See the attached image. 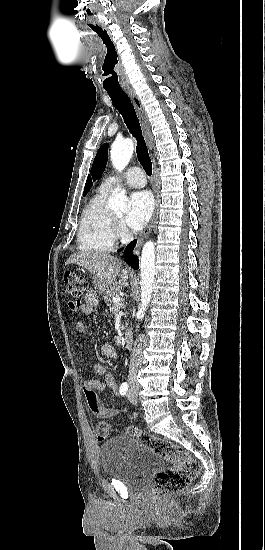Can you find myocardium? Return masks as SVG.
Here are the masks:
<instances>
[{
  "label": "myocardium",
  "mask_w": 265,
  "mask_h": 550,
  "mask_svg": "<svg viewBox=\"0 0 265 550\" xmlns=\"http://www.w3.org/2000/svg\"><path fill=\"white\" fill-rule=\"evenodd\" d=\"M114 220H115V225H116V227L120 226V224H121V219H120L119 217L114 216Z\"/></svg>",
  "instance_id": "myocardium-1"
}]
</instances>
